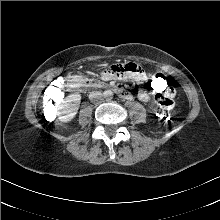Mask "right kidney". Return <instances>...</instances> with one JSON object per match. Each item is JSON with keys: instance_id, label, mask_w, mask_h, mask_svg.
<instances>
[{"instance_id": "obj_1", "label": "right kidney", "mask_w": 220, "mask_h": 220, "mask_svg": "<svg viewBox=\"0 0 220 220\" xmlns=\"http://www.w3.org/2000/svg\"><path fill=\"white\" fill-rule=\"evenodd\" d=\"M80 100L81 95L78 93H74L67 96L62 101L58 109V119L63 123L71 121L77 114L80 105Z\"/></svg>"}]
</instances>
